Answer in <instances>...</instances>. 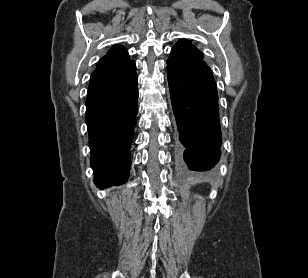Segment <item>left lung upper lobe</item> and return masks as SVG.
Listing matches in <instances>:
<instances>
[{"mask_svg": "<svg viewBox=\"0 0 308 278\" xmlns=\"http://www.w3.org/2000/svg\"><path fill=\"white\" fill-rule=\"evenodd\" d=\"M203 53L189 40H179L172 48L167 64L175 66H187L202 61Z\"/></svg>", "mask_w": 308, "mask_h": 278, "instance_id": "left-lung-upper-lobe-1", "label": "left lung upper lobe"}]
</instances>
